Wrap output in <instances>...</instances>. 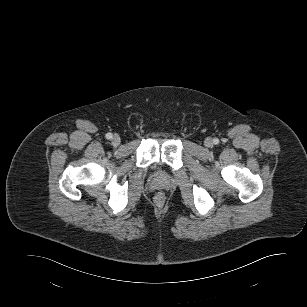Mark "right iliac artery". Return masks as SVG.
Wrapping results in <instances>:
<instances>
[{"instance_id": "1", "label": "right iliac artery", "mask_w": 307, "mask_h": 307, "mask_svg": "<svg viewBox=\"0 0 307 307\" xmlns=\"http://www.w3.org/2000/svg\"><path fill=\"white\" fill-rule=\"evenodd\" d=\"M106 138H107V139H111V138H112V133H107V134H106Z\"/></svg>"}]
</instances>
